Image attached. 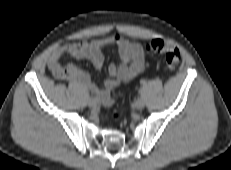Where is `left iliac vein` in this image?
<instances>
[{
	"instance_id": "obj_1",
	"label": "left iliac vein",
	"mask_w": 231,
	"mask_h": 170,
	"mask_svg": "<svg viewBox=\"0 0 231 170\" xmlns=\"http://www.w3.org/2000/svg\"><path fill=\"white\" fill-rule=\"evenodd\" d=\"M144 106H145V103H144V101H143L142 99H138V100L135 102V108H136L137 110L143 109Z\"/></svg>"
}]
</instances>
